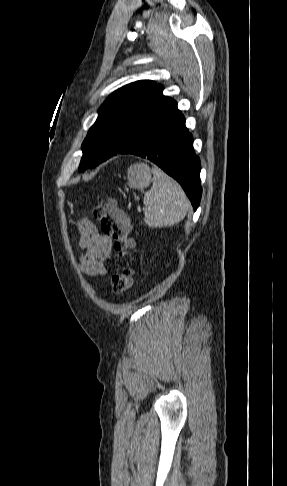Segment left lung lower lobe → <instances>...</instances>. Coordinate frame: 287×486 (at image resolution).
Wrapping results in <instances>:
<instances>
[{
  "mask_svg": "<svg viewBox=\"0 0 287 486\" xmlns=\"http://www.w3.org/2000/svg\"><path fill=\"white\" fill-rule=\"evenodd\" d=\"M128 153L152 161L176 179L194 209L198 208L202 194L200 160L194 153L193 137L185 126V118L177 108L140 146Z\"/></svg>",
  "mask_w": 287,
  "mask_h": 486,
  "instance_id": "left-lung-lower-lobe-1",
  "label": "left lung lower lobe"
}]
</instances>
